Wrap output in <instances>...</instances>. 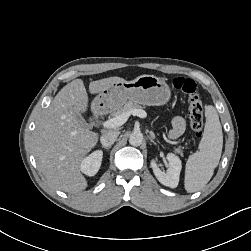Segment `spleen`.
<instances>
[{
    "label": "spleen",
    "mask_w": 251,
    "mask_h": 251,
    "mask_svg": "<svg viewBox=\"0 0 251 251\" xmlns=\"http://www.w3.org/2000/svg\"><path fill=\"white\" fill-rule=\"evenodd\" d=\"M204 135L199 150L190 155L185 168V190L189 193L203 188L212 178L218 166L223 147L222 127L216 109L207 106Z\"/></svg>",
    "instance_id": "spleen-1"
}]
</instances>
